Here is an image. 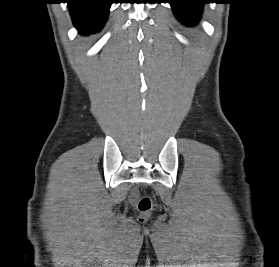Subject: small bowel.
Returning <instances> with one entry per match:
<instances>
[{
    "instance_id": "c3829d8e",
    "label": "small bowel",
    "mask_w": 279,
    "mask_h": 267,
    "mask_svg": "<svg viewBox=\"0 0 279 267\" xmlns=\"http://www.w3.org/2000/svg\"><path fill=\"white\" fill-rule=\"evenodd\" d=\"M136 199V194H133L132 195V200H135Z\"/></svg>"
}]
</instances>
